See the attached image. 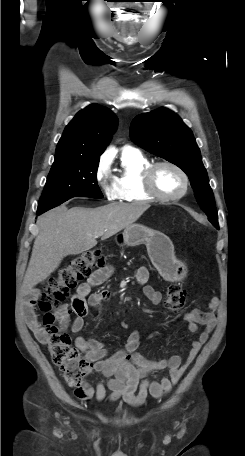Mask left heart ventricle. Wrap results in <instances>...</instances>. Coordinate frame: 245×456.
Returning <instances> with one entry per match:
<instances>
[{
	"label": "left heart ventricle",
	"instance_id": "left-heart-ventricle-1",
	"mask_svg": "<svg viewBox=\"0 0 245 456\" xmlns=\"http://www.w3.org/2000/svg\"><path fill=\"white\" fill-rule=\"evenodd\" d=\"M157 190L164 195H176L183 189L180 174L169 166H160L154 176Z\"/></svg>",
	"mask_w": 245,
	"mask_h": 456
}]
</instances>
